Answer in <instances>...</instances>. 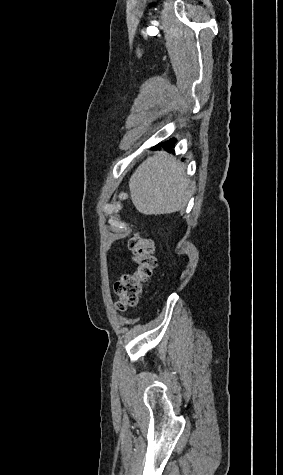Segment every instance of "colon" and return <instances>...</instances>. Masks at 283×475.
<instances>
[{
  "label": "colon",
  "mask_w": 283,
  "mask_h": 475,
  "mask_svg": "<svg viewBox=\"0 0 283 475\" xmlns=\"http://www.w3.org/2000/svg\"><path fill=\"white\" fill-rule=\"evenodd\" d=\"M132 262L136 270L126 272L115 283L114 294L118 298L115 303L117 310L138 305L143 293L145 281L150 278L155 267L154 244L138 234H134L129 242Z\"/></svg>",
  "instance_id": "obj_1"
}]
</instances>
